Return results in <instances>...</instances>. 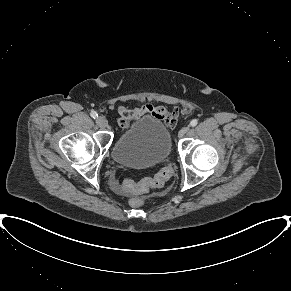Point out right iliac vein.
I'll use <instances>...</instances> for the list:
<instances>
[{"label": "right iliac vein", "mask_w": 291, "mask_h": 291, "mask_svg": "<svg viewBox=\"0 0 291 291\" xmlns=\"http://www.w3.org/2000/svg\"><path fill=\"white\" fill-rule=\"evenodd\" d=\"M96 123L101 128H105L107 126V124H108L107 123V120L104 117H102V116H100V117H98L96 119Z\"/></svg>", "instance_id": "1"}]
</instances>
